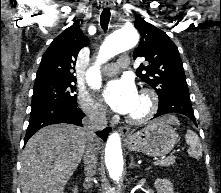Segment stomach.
<instances>
[{"label": "stomach", "instance_id": "obj_1", "mask_svg": "<svg viewBox=\"0 0 221 193\" xmlns=\"http://www.w3.org/2000/svg\"><path fill=\"white\" fill-rule=\"evenodd\" d=\"M177 137V133L170 124L161 118L129 134L125 139V145L133 152H142L152 157L163 156L174 148Z\"/></svg>", "mask_w": 221, "mask_h": 193}]
</instances>
